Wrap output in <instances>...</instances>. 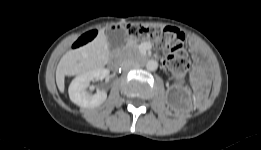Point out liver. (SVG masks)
Returning a JSON list of instances; mask_svg holds the SVG:
<instances>
[{
    "instance_id": "1",
    "label": "liver",
    "mask_w": 261,
    "mask_h": 150,
    "mask_svg": "<svg viewBox=\"0 0 261 150\" xmlns=\"http://www.w3.org/2000/svg\"><path fill=\"white\" fill-rule=\"evenodd\" d=\"M109 60L108 41L104 30L87 45L66 52L60 59L56 69V83L61 93L65 89V76L85 73L103 68Z\"/></svg>"
}]
</instances>
